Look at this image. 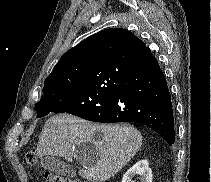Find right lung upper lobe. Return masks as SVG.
Here are the masks:
<instances>
[{"label":"right lung upper lobe","instance_id":"1","mask_svg":"<svg viewBox=\"0 0 211 182\" xmlns=\"http://www.w3.org/2000/svg\"><path fill=\"white\" fill-rule=\"evenodd\" d=\"M127 32L130 35L131 41L142 42L140 39H138L129 31ZM98 34L99 32L89 36L88 38L80 42L78 45H76L75 47L68 50L65 54H63L61 59L56 64L52 73L49 76L55 74L59 70L66 68L68 66H74L76 64L88 63V62L90 63Z\"/></svg>","mask_w":211,"mask_h":182}]
</instances>
